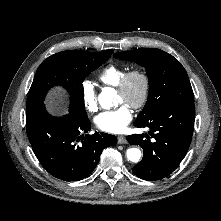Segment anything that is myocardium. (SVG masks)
Returning a JSON list of instances; mask_svg holds the SVG:
<instances>
[{
	"mask_svg": "<svg viewBox=\"0 0 221 221\" xmlns=\"http://www.w3.org/2000/svg\"><path fill=\"white\" fill-rule=\"evenodd\" d=\"M135 79H139L141 81L142 90L139 98L130 103L129 106L133 109H140L147 103L151 89L150 77L145 70L136 68L128 71L118 84L117 91L120 94L126 95L129 91L131 83Z\"/></svg>",
	"mask_w": 221,
	"mask_h": 221,
	"instance_id": "obj_1",
	"label": "myocardium"
}]
</instances>
